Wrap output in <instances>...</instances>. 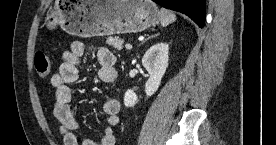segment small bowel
<instances>
[{
  "mask_svg": "<svg viewBox=\"0 0 276 145\" xmlns=\"http://www.w3.org/2000/svg\"><path fill=\"white\" fill-rule=\"evenodd\" d=\"M87 51L82 41H73L70 49L65 51L58 72L51 77V85L55 88L54 116L59 123L64 145H79L75 131L79 129L70 102L72 89L70 84L79 77V66ZM97 59L100 64L99 78L104 83H112L117 78L115 68L116 56L107 48L97 50ZM103 110L107 116V124L102 129L99 143L90 138L83 139L81 145H115L113 128L120 122V104L117 99L109 97L103 103Z\"/></svg>",
  "mask_w": 276,
  "mask_h": 145,
  "instance_id": "1",
  "label": "small bowel"
}]
</instances>
